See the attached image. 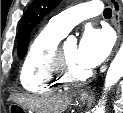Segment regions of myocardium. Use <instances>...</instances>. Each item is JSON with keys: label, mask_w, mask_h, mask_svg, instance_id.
Masks as SVG:
<instances>
[{"label": "myocardium", "mask_w": 123, "mask_h": 113, "mask_svg": "<svg viewBox=\"0 0 123 113\" xmlns=\"http://www.w3.org/2000/svg\"><path fill=\"white\" fill-rule=\"evenodd\" d=\"M54 69L65 83L83 82L89 79L92 75V72L89 70L84 73H76L72 70L67 62L64 46H58L57 48Z\"/></svg>", "instance_id": "myocardium-1"}]
</instances>
